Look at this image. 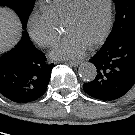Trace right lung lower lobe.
Instances as JSON below:
<instances>
[{
	"instance_id": "98d812e1",
	"label": "right lung lower lobe",
	"mask_w": 135,
	"mask_h": 135,
	"mask_svg": "<svg viewBox=\"0 0 135 135\" xmlns=\"http://www.w3.org/2000/svg\"><path fill=\"white\" fill-rule=\"evenodd\" d=\"M53 66L23 31L18 45L0 56V93L16 103L37 100L47 89Z\"/></svg>"
}]
</instances>
